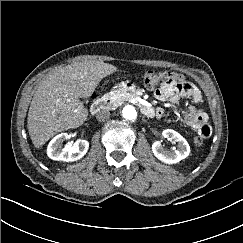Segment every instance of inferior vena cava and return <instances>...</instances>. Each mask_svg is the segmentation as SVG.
<instances>
[{
	"mask_svg": "<svg viewBox=\"0 0 243 243\" xmlns=\"http://www.w3.org/2000/svg\"><path fill=\"white\" fill-rule=\"evenodd\" d=\"M110 117V112L107 109H101L96 113V119L98 121H106Z\"/></svg>",
	"mask_w": 243,
	"mask_h": 243,
	"instance_id": "obj_1",
	"label": "inferior vena cava"
}]
</instances>
